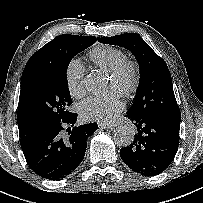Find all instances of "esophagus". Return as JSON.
Instances as JSON below:
<instances>
[{
	"instance_id": "esophagus-1",
	"label": "esophagus",
	"mask_w": 203,
	"mask_h": 203,
	"mask_svg": "<svg viewBox=\"0 0 203 203\" xmlns=\"http://www.w3.org/2000/svg\"><path fill=\"white\" fill-rule=\"evenodd\" d=\"M98 126L100 129H112L113 128V125L105 124V123H99Z\"/></svg>"
}]
</instances>
